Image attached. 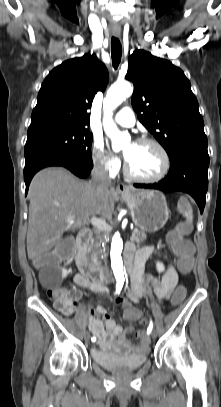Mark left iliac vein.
<instances>
[{
  "label": "left iliac vein",
  "mask_w": 221,
  "mask_h": 407,
  "mask_svg": "<svg viewBox=\"0 0 221 407\" xmlns=\"http://www.w3.org/2000/svg\"><path fill=\"white\" fill-rule=\"evenodd\" d=\"M151 335H152L153 338H155L156 335H157V334H156V331H152Z\"/></svg>",
  "instance_id": "4c4485c4"
}]
</instances>
